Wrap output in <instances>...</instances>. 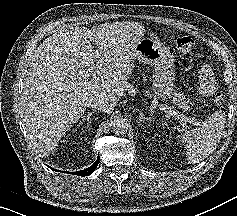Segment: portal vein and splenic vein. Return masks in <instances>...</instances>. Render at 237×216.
I'll list each match as a JSON object with an SVG mask.
<instances>
[{
	"instance_id": "1",
	"label": "portal vein and splenic vein",
	"mask_w": 237,
	"mask_h": 216,
	"mask_svg": "<svg viewBox=\"0 0 237 216\" xmlns=\"http://www.w3.org/2000/svg\"><path fill=\"white\" fill-rule=\"evenodd\" d=\"M99 78H97L95 75L93 76V81H98ZM180 121L183 125H185V123L187 122L188 118L185 115H180Z\"/></svg>"
}]
</instances>
